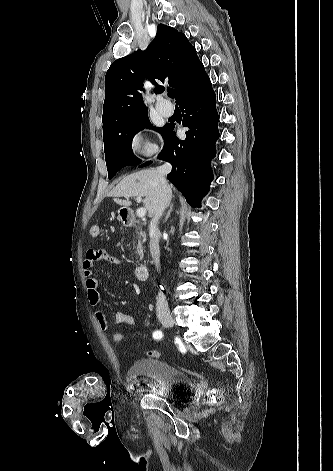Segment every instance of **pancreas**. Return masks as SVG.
<instances>
[{"mask_svg":"<svg viewBox=\"0 0 333 471\" xmlns=\"http://www.w3.org/2000/svg\"><path fill=\"white\" fill-rule=\"evenodd\" d=\"M144 236V233L142 231V229L140 227L137 228V230L135 231V234L133 236L134 239H137L138 240V244H137V250L138 251H141L142 250V238Z\"/></svg>","mask_w":333,"mask_h":471,"instance_id":"cf45deb5","label":"pancreas"}]
</instances>
